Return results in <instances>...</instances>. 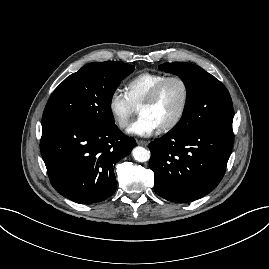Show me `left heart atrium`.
I'll list each match as a JSON object with an SVG mask.
<instances>
[{"instance_id": "39dd6f15", "label": "left heart atrium", "mask_w": 269, "mask_h": 269, "mask_svg": "<svg viewBox=\"0 0 269 269\" xmlns=\"http://www.w3.org/2000/svg\"><path fill=\"white\" fill-rule=\"evenodd\" d=\"M159 128L158 124L152 118L146 115H140L131 123L127 132L140 137H148L155 133Z\"/></svg>"}]
</instances>
